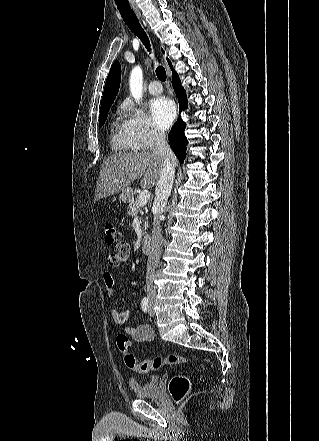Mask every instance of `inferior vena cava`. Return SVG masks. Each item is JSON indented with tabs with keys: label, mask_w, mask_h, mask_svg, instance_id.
<instances>
[{
	"label": "inferior vena cava",
	"mask_w": 319,
	"mask_h": 441,
	"mask_svg": "<svg viewBox=\"0 0 319 441\" xmlns=\"http://www.w3.org/2000/svg\"><path fill=\"white\" fill-rule=\"evenodd\" d=\"M154 138L155 148L152 154L161 160L162 170L155 190L154 206L157 208V214L154 216L153 220L151 251L148 256L146 270L147 296L149 298L154 297L156 294L153 279L155 269L160 260L161 246L163 242L159 216L163 212L171 194L175 177V156L166 141V134L163 131H156Z\"/></svg>",
	"instance_id": "obj_1"
}]
</instances>
